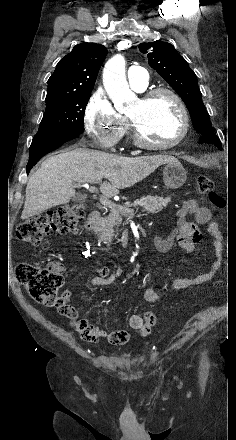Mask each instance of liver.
<instances>
[{
	"instance_id": "obj_1",
	"label": "liver",
	"mask_w": 236,
	"mask_h": 440,
	"mask_svg": "<svg viewBox=\"0 0 236 440\" xmlns=\"http://www.w3.org/2000/svg\"><path fill=\"white\" fill-rule=\"evenodd\" d=\"M175 160L168 155L124 157L75 148L47 158L30 177L21 219L66 204L75 196V183L99 184L104 196L129 188L149 176L160 165ZM106 178L109 182H103Z\"/></svg>"
}]
</instances>
